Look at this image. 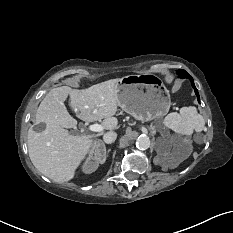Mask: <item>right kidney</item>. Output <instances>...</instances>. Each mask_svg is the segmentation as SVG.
Here are the masks:
<instances>
[{
  "label": "right kidney",
  "mask_w": 233,
  "mask_h": 233,
  "mask_svg": "<svg viewBox=\"0 0 233 233\" xmlns=\"http://www.w3.org/2000/svg\"><path fill=\"white\" fill-rule=\"evenodd\" d=\"M106 160L105 155H101L96 150L90 152L89 157L82 166V171L86 174H90L98 168L99 164H103Z\"/></svg>",
  "instance_id": "1"
}]
</instances>
